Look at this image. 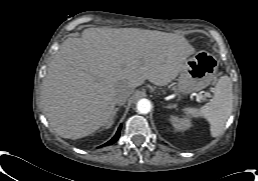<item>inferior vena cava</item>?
<instances>
[{"mask_svg": "<svg viewBox=\"0 0 258 181\" xmlns=\"http://www.w3.org/2000/svg\"><path fill=\"white\" fill-rule=\"evenodd\" d=\"M129 97V93H124V94H122V95H119L118 97H117V99H116V103L118 104V105H123L125 102H126V100H127V98Z\"/></svg>", "mask_w": 258, "mask_h": 181, "instance_id": "obj_1", "label": "inferior vena cava"}]
</instances>
